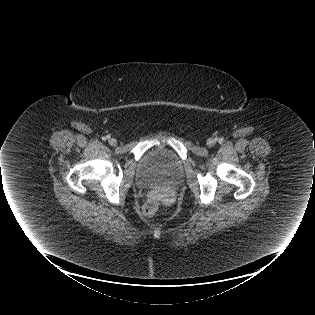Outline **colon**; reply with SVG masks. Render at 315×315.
<instances>
[{
	"mask_svg": "<svg viewBox=\"0 0 315 315\" xmlns=\"http://www.w3.org/2000/svg\"><path fill=\"white\" fill-rule=\"evenodd\" d=\"M159 208V201L156 198H151L143 206V213L145 216H153Z\"/></svg>",
	"mask_w": 315,
	"mask_h": 315,
	"instance_id": "1",
	"label": "colon"
}]
</instances>
